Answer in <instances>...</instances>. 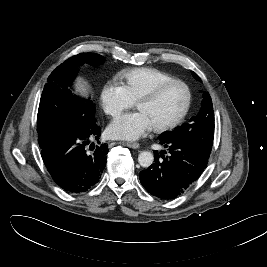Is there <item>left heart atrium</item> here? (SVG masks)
I'll return each instance as SVG.
<instances>
[{
    "label": "left heart atrium",
    "instance_id": "left-heart-atrium-1",
    "mask_svg": "<svg viewBox=\"0 0 267 267\" xmlns=\"http://www.w3.org/2000/svg\"><path fill=\"white\" fill-rule=\"evenodd\" d=\"M151 129L145 115L140 111L116 118L108 127V134L116 139L136 140Z\"/></svg>",
    "mask_w": 267,
    "mask_h": 267
}]
</instances>
